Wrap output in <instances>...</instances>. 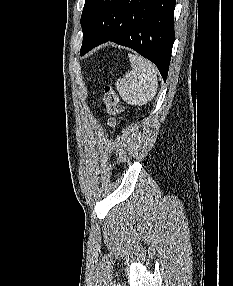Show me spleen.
Wrapping results in <instances>:
<instances>
[{
    "label": "spleen",
    "instance_id": "obj_1",
    "mask_svg": "<svg viewBox=\"0 0 233 286\" xmlns=\"http://www.w3.org/2000/svg\"><path fill=\"white\" fill-rule=\"evenodd\" d=\"M132 70L116 81V88L129 105L148 103L157 93V69L149 60L137 54H128Z\"/></svg>",
    "mask_w": 233,
    "mask_h": 286
}]
</instances>
